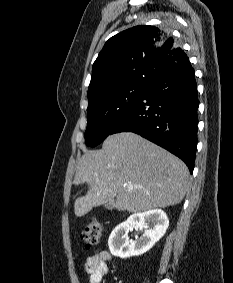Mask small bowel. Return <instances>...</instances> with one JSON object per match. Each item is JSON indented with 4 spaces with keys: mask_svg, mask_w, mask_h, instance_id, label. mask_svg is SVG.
I'll list each match as a JSON object with an SVG mask.
<instances>
[{
    "mask_svg": "<svg viewBox=\"0 0 233 283\" xmlns=\"http://www.w3.org/2000/svg\"><path fill=\"white\" fill-rule=\"evenodd\" d=\"M111 260V255L108 251L97 249L85 262V270L89 275L90 283H100L108 274V262Z\"/></svg>",
    "mask_w": 233,
    "mask_h": 283,
    "instance_id": "1",
    "label": "small bowel"
}]
</instances>
